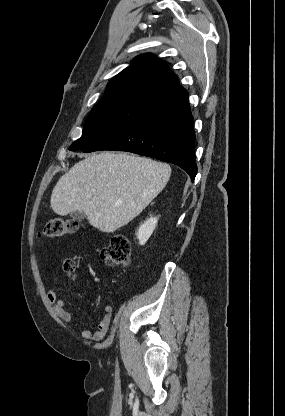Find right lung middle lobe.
Wrapping results in <instances>:
<instances>
[{"mask_svg":"<svg viewBox=\"0 0 285 416\" xmlns=\"http://www.w3.org/2000/svg\"><path fill=\"white\" fill-rule=\"evenodd\" d=\"M160 109V105L133 95L99 101L85 122L82 136L69 150L88 148Z\"/></svg>","mask_w":285,"mask_h":416,"instance_id":"1","label":"right lung middle lobe"}]
</instances>
